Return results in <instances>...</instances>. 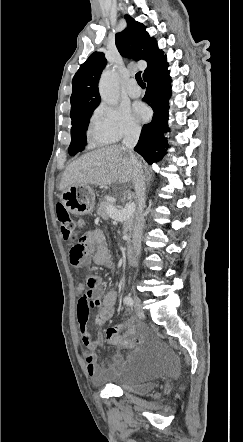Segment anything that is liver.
<instances>
[{
  "label": "liver",
  "instance_id": "6515ba94",
  "mask_svg": "<svg viewBox=\"0 0 243 442\" xmlns=\"http://www.w3.org/2000/svg\"><path fill=\"white\" fill-rule=\"evenodd\" d=\"M133 163L130 155L119 145L90 151L73 161L64 171L60 190L72 185L103 187L116 182L133 180Z\"/></svg>",
  "mask_w": 243,
  "mask_h": 442
}]
</instances>
